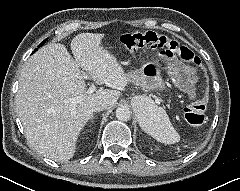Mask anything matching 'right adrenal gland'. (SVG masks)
I'll use <instances>...</instances> for the list:
<instances>
[{
    "instance_id": "obj_1",
    "label": "right adrenal gland",
    "mask_w": 240,
    "mask_h": 191,
    "mask_svg": "<svg viewBox=\"0 0 240 191\" xmlns=\"http://www.w3.org/2000/svg\"><path fill=\"white\" fill-rule=\"evenodd\" d=\"M94 116L91 117L90 123H93Z\"/></svg>"
}]
</instances>
